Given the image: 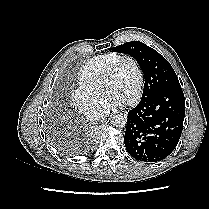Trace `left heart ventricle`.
Returning <instances> with one entry per match:
<instances>
[{
    "mask_svg": "<svg viewBox=\"0 0 209 209\" xmlns=\"http://www.w3.org/2000/svg\"><path fill=\"white\" fill-rule=\"evenodd\" d=\"M136 83V72L133 65L127 61H120L107 86L105 95L119 97L124 101L131 95Z\"/></svg>",
    "mask_w": 209,
    "mask_h": 209,
    "instance_id": "obj_1",
    "label": "left heart ventricle"
}]
</instances>
